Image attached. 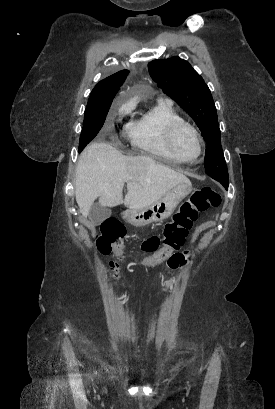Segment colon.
Instances as JSON below:
<instances>
[{"label": "colon", "mask_w": 275, "mask_h": 409, "mask_svg": "<svg viewBox=\"0 0 275 409\" xmlns=\"http://www.w3.org/2000/svg\"><path fill=\"white\" fill-rule=\"evenodd\" d=\"M220 205L221 198L213 188L203 187L196 190L182 202L179 210L174 213L172 220L166 223L162 234L153 235L143 241L141 248L148 252L149 256L147 260L139 258L137 261L139 263L148 261L149 263L146 265L148 268L165 264L166 258L170 257L176 248H182L185 245L188 232L197 215L201 212L203 215H208L209 208L219 207ZM124 234L125 229L118 220L107 219L100 226L96 244L104 253L121 254L124 247ZM110 268L109 271L112 273L119 268V263L112 261Z\"/></svg>", "instance_id": "1"}]
</instances>
